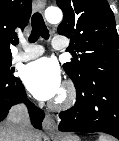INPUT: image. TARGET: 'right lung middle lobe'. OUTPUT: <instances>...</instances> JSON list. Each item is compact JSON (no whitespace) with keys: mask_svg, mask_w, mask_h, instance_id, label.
<instances>
[{"mask_svg":"<svg viewBox=\"0 0 119 141\" xmlns=\"http://www.w3.org/2000/svg\"><path fill=\"white\" fill-rule=\"evenodd\" d=\"M14 69L11 68V57H1L0 58V80L6 82L14 79L13 75Z\"/></svg>","mask_w":119,"mask_h":141,"instance_id":"obj_1","label":"right lung middle lobe"}]
</instances>
